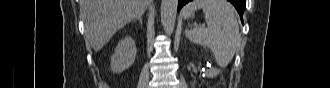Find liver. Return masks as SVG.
Segmentation results:
<instances>
[{"instance_id": "obj_1", "label": "liver", "mask_w": 330, "mask_h": 88, "mask_svg": "<svg viewBox=\"0 0 330 88\" xmlns=\"http://www.w3.org/2000/svg\"><path fill=\"white\" fill-rule=\"evenodd\" d=\"M149 0H81L85 36L94 51L131 20L142 16Z\"/></svg>"}]
</instances>
